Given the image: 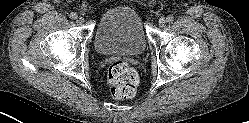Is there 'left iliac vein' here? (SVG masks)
<instances>
[{"mask_svg": "<svg viewBox=\"0 0 249 123\" xmlns=\"http://www.w3.org/2000/svg\"><path fill=\"white\" fill-rule=\"evenodd\" d=\"M158 24L160 27H164L166 24V19L164 17H161L158 21Z\"/></svg>", "mask_w": 249, "mask_h": 123, "instance_id": "1", "label": "left iliac vein"}]
</instances>
